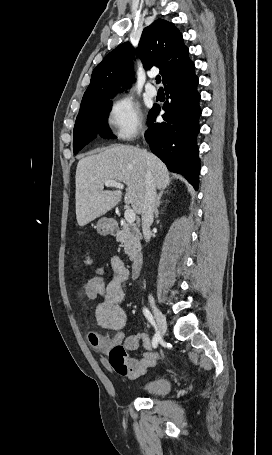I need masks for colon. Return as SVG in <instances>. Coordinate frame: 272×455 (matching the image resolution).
I'll list each match as a JSON object with an SVG mask.
<instances>
[{"label":"colon","mask_w":272,"mask_h":455,"mask_svg":"<svg viewBox=\"0 0 272 455\" xmlns=\"http://www.w3.org/2000/svg\"><path fill=\"white\" fill-rule=\"evenodd\" d=\"M86 267H92V260L86 258ZM93 276L79 289L78 295L84 299H93L104 295L107 284V275L103 268H94ZM90 341L94 346L107 348L109 351V363L117 372H124L127 368L126 349L122 344H109L96 334H91Z\"/></svg>","instance_id":"colon-1"}]
</instances>
